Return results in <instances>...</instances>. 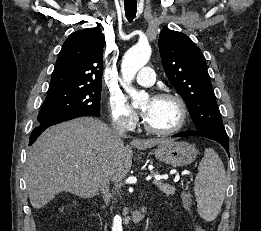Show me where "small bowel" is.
Masks as SVG:
<instances>
[{
	"label": "small bowel",
	"mask_w": 261,
	"mask_h": 231,
	"mask_svg": "<svg viewBox=\"0 0 261 231\" xmlns=\"http://www.w3.org/2000/svg\"><path fill=\"white\" fill-rule=\"evenodd\" d=\"M183 199H184V201H185L186 203H189V201H190L189 195H188L187 193H184V194H183Z\"/></svg>",
	"instance_id": "obj_1"
}]
</instances>
